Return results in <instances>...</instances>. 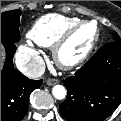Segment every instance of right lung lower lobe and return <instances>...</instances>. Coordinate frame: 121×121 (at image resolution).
I'll return each instance as SVG.
<instances>
[{
    "mask_svg": "<svg viewBox=\"0 0 121 121\" xmlns=\"http://www.w3.org/2000/svg\"><path fill=\"white\" fill-rule=\"evenodd\" d=\"M6 50V62L1 72V121H20L27 113L29 96L42 80H31L13 68L15 43L2 42Z\"/></svg>",
    "mask_w": 121,
    "mask_h": 121,
    "instance_id": "right-lung-lower-lobe-1",
    "label": "right lung lower lobe"
}]
</instances>
